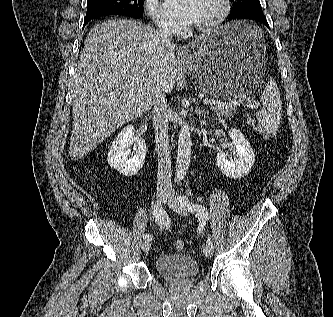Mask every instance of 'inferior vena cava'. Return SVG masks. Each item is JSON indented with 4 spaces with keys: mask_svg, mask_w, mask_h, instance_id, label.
Segmentation results:
<instances>
[{
    "mask_svg": "<svg viewBox=\"0 0 333 317\" xmlns=\"http://www.w3.org/2000/svg\"><path fill=\"white\" fill-rule=\"evenodd\" d=\"M165 42H171L170 36L173 32L167 23H159L158 31ZM170 107L167 104L166 95L163 91L155 95L152 110L155 141L158 151V174L157 187L170 189L171 182V152L168 136Z\"/></svg>",
    "mask_w": 333,
    "mask_h": 317,
    "instance_id": "602c4592",
    "label": "inferior vena cava"
}]
</instances>
